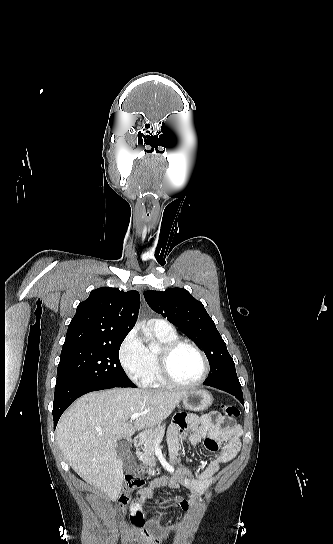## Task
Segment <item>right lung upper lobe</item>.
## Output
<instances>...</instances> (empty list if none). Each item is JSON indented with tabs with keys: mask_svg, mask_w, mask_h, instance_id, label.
<instances>
[{
	"mask_svg": "<svg viewBox=\"0 0 333 544\" xmlns=\"http://www.w3.org/2000/svg\"><path fill=\"white\" fill-rule=\"evenodd\" d=\"M139 306L140 296L135 290L124 292L107 287L93 290L78 305L62 349L126 337L136 323Z\"/></svg>",
	"mask_w": 333,
	"mask_h": 544,
	"instance_id": "1",
	"label": "right lung upper lobe"
}]
</instances>
